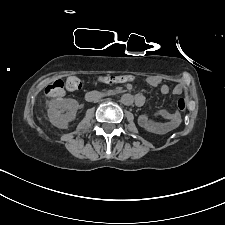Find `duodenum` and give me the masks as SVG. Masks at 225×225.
Returning a JSON list of instances; mask_svg holds the SVG:
<instances>
[{
  "label": "duodenum",
  "mask_w": 225,
  "mask_h": 225,
  "mask_svg": "<svg viewBox=\"0 0 225 225\" xmlns=\"http://www.w3.org/2000/svg\"><path fill=\"white\" fill-rule=\"evenodd\" d=\"M106 96L105 92H100V91H88L85 95V98L87 101H94L101 99ZM134 102L136 105H142L144 102V99L140 95H135L134 97Z\"/></svg>",
  "instance_id": "1"
}]
</instances>
